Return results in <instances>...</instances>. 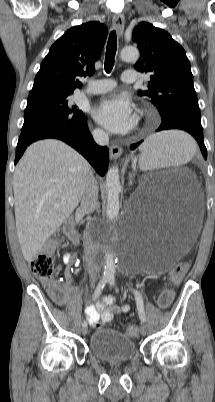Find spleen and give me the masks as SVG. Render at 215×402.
<instances>
[{
	"instance_id": "obj_1",
	"label": "spleen",
	"mask_w": 215,
	"mask_h": 402,
	"mask_svg": "<svg viewBox=\"0 0 215 402\" xmlns=\"http://www.w3.org/2000/svg\"><path fill=\"white\" fill-rule=\"evenodd\" d=\"M140 149L141 168L154 169L188 161L194 153V142L186 128H173L172 131L150 137Z\"/></svg>"
}]
</instances>
